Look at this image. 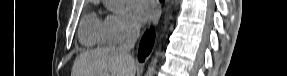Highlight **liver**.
<instances>
[{"label":"liver","mask_w":287,"mask_h":76,"mask_svg":"<svg viewBox=\"0 0 287 76\" xmlns=\"http://www.w3.org/2000/svg\"><path fill=\"white\" fill-rule=\"evenodd\" d=\"M135 72V63L129 57L118 48L108 47L80 55L73 76H135Z\"/></svg>","instance_id":"liver-1"}]
</instances>
